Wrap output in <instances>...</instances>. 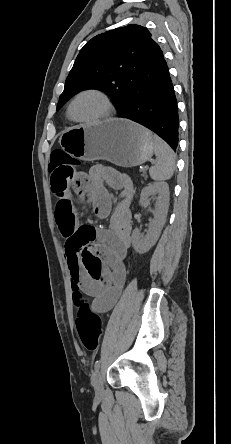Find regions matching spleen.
<instances>
[{"label":"spleen","instance_id":"obj_1","mask_svg":"<svg viewBox=\"0 0 231 444\" xmlns=\"http://www.w3.org/2000/svg\"><path fill=\"white\" fill-rule=\"evenodd\" d=\"M153 141L157 161L150 168L149 174L155 181L169 180L175 171L176 155L171 147L158 136H153Z\"/></svg>","mask_w":231,"mask_h":444}]
</instances>
